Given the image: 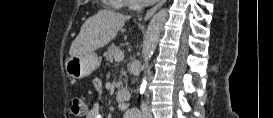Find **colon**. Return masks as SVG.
I'll use <instances>...</instances> for the list:
<instances>
[{
	"label": "colon",
	"instance_id": "5ec220e1",
	"mask_svg": "<svg viewBox=\"0 0 273 118\" xmlns=\"http://www.w3.org/2000/svg\"><path fill=\"white\" fill-rule=\"evenodd\" d=\"M71 113L76 117H83L87 113V106L80 97H74L70 107Z\"/></svg>",
	"mask_w": 273,
	"mask_h": 118
}]
</instances>
